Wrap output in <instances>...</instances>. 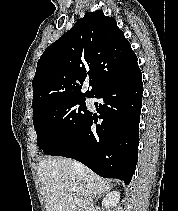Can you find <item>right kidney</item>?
<instances>
[{"mask_svg": "<svg viewBox=\"0 0 178 211\" xmlns=\"http://www.w3.org/2000/svg\"><path fill=\"white\" fill-rule=\"evenodd\" d=\"M119 200H120L119 191L110 192L104 197L102 201V207H105V208L114 207L119 203Z\"/></svg>", "mask_w": 178, "mask_h": 211, "instance_id": "right-kidney-1", "label": "right kidney"}]
</instances>
